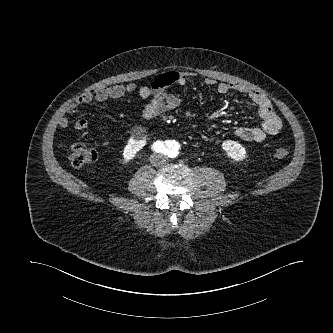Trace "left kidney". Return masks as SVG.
Listing matches in <instances>:
<instances>
[{
  "label": "left kidney",
  "mask_w": 333,
  "mask_h": 333,
  "mask_svg": "<svg viewBox=\"0 0 333 333\" xmlns=\"http://www.w3.org/2000/svg\"><path fill=\"white\" fill-rule=\"evenodd\" d=\"M222 148L226 151L228 157L235 161H242L247 157L245 148L236 141H224L222 143Z\"/></svg>",
  "instance_id": "left-kidney-1"
}]
</instances>
